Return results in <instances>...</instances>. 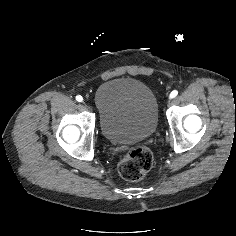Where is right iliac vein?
<instances>
[{
    "instance_id": "right-iliac-vein-1",
    "label": "right iliac vein",
    "mask_w": 236,
    "mask_h": 236,
    "mask_svg": "<svg viewBox=\"0 0 236 236\" xmlns=\"http://www.w3.org/2000/svg\"><path fill=\"white\" fill-rule=\"evenodd\" d=\"M82 105H83V107L89 109L91 112L93 111L92 105L88 104V102L85 101V102H83Z\"/></svg>"
}]
</instances>
